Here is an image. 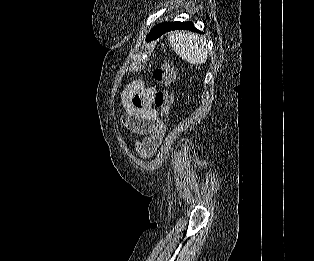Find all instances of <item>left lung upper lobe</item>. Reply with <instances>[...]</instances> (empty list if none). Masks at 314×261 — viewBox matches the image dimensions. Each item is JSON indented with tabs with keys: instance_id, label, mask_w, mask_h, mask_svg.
<instances>
[{
	"instance_id": "left-lung-upper-lobe-1",
	"label": "left lung upper lobe",
	"mask_w": 314,
	"mask_h": 261,
	"mask_svg": "<svg viewBox=\"0 0 314 261\" xmlns=\"http://www.w3.org/2000/svg\"><path fill=\"white\" fill-rule=\"evenodd\" d=\"M166 23H161L156 25L151 29L150 33L147 35L146 41H150L155 33H157Z\"/></svg>"
}]
</instances>
